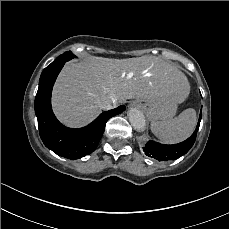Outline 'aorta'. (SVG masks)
Segmentation results:
<instances>
[{"label": "aorta", "mask_w": 229, "mask_h": 229, "mask_svg": "<svg viewBox=\"0 0 229 229\" xmlns=\"http://www.w3.org/2000/svg\"><path fill=\"white\" fill-rule=\"evenodd\" d=\"M128 118L132 127L136 131H143L146 127V120L143 113L135 108H132L128 111Z\"/></svg>", "instance_id": "obj_1"}]
</instances>
